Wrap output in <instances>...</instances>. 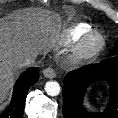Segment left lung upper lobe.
<instances>
[{"instance_id":"1","label":"left lung upper lobe","mask_w":118,"mask_h":118,"mask_svg":"<svg viewBox=\"0 0 118 118\" xmlns=\"http://www.w3.org/2000/svg\"><path fill=\"white\" fill-rule=\"evenodd\" d=\"M117 55H118V40H117L116 46L112 49L109 56L112 57V56H117Z\"/></svg>"}]
</instances>
